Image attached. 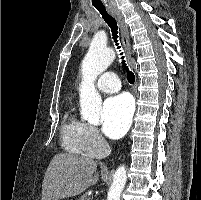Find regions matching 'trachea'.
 Listing matches in <instances>:
<instances>
[{
	"label": "trachea",
	"instance_id": "obj_1",
	"mask_svg": "<svg viewBox=\"0 0 201 200\" xmlns=\"http://www.w3.org/2000/svg\"><path fill=\"white\" fill-rule=\"evenodd\" d=\"M95 8L99 11L104 21L108 24V26L111 28L113 40L117 46V49H120V46L118 44V26L117 21L115 18L108 13V11L105 9L103 5H95ZM121 60H122V66L126 71L127 79L130 84H134L135 82V75L132 71L129 70L128 66L125 63L123 53H120Z\"/></svg>",
	"mask_w": 201,
	"mask_h": 200
}]
</instances>
